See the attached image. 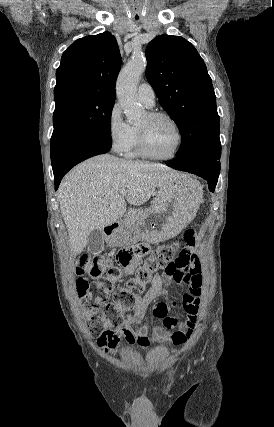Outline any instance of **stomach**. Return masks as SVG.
Masks as SVG:
<instances>
[{
	"instance_id": "stomach-1",
	"label": "stomach",
	"mask_w": 274,
	"mask_h": 427,
	"mask_svg": "<svg viewBox=\"0 0 274 427\" xmlns=\"http://www.w3.org/2000/svg\"><path fill=\"white\" fill-rule=\"evenodd\" d=\"M195 180L180 176L171 178L166 186H160L154 206L145 210L139 221L123 229L121 225L106 235L109 245H130L135 241L158 243L177 235L198 208L199 188H194Z\"/></svg>"
}]
</instances>
